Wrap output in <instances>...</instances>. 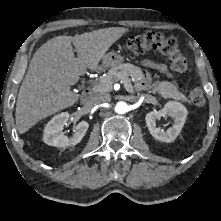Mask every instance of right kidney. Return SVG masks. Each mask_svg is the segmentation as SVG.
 Instances as JSON below:
<instances>
[{
  "instance_id": "ca27d5eb",
  "label": "right kidney",
  "mask_w": 221,
  "mask_h": 221,
  "mask_svg": "<svg viewBox=\"0 0 221 221\" xmlns=\"http://www.w3.org/2000/svg\"><path fill=\"white\" fill-rule=\"evenodd\" d=\"M68 120V112H62L54 116L45 126L43 141L47 145L55 147H69L78 144L84 137L89 124L86 121L79 122L75 126L74 134L67 137L62 131Z\"/></svg>"
}]
</instances>
